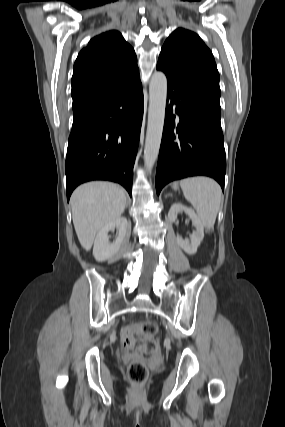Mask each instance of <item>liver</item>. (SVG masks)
<instances>
[{"label":"liver","instance_id":"6515ba94","mask_svg":"<svg viewBox=\"0 0 285 427\" xmlns=\"http://www.w3.org/2000/svg\"><path fill=\"white\" fill-rule=\"evenodd\" d=\"M126 205L123 188L110 182H89L71 196L72 219L81 246L89 251L97 232L119 218Z\"/></svg>","mask_w":285,"mask_h":427}]
</instances>
